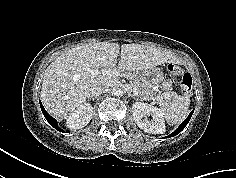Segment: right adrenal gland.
Wrapping results in <instances>:
<instances>
[{
  "instance_id": "1",
  "label": "right adrenal gland",
  "mask_w": 236,
  "mask_h": 178,
  "mask_svg": "<svg viewBox=\"0 0 236 178\" xmlns=\"http://www.w3.org/2000/svg\"><path fill=\"white\" fill-rule=\"evenodd\" d=\"M88 99L95 100V99H97V97L89 96Z\"/></svg>"
}]
</instances>
